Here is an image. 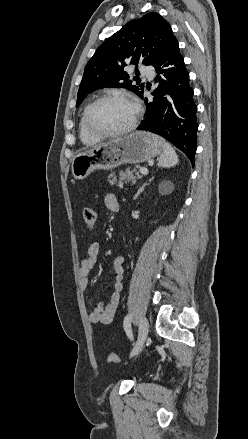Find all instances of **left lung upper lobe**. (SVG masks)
Here are the masks:
<instances>
[{
	"mask_svg": "<svg viewBox=\"0 0 248 439\" xmlns=\"http://www.w3.org/2000/svg\"><path fill=\"white\" fill-rule=\"evenodd\" d=\"M175 41L171 26L160 14L152 12L128 22L103 42L87 63L76 106L87 94L104 87H122L142 96L144 85H132L124 67L140 61L155 66Z\"/></svg>",
	"mask_w": 248,
	"mask_h": 439,
	"instance_id": "left-lung-upper-lobe-1",
	"label": "left lung upper lobe"
}]
</instances>
